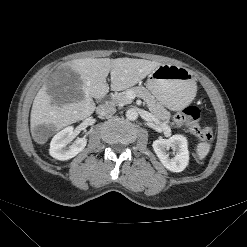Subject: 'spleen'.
<instances>
[{
    "label": "spleen",
    "instance_id": "spleen-1",
    "mask_svg": "<svg viewBox=\"0 0 247 247\" xmlns=\"http://www.w3.org/2000/svg\"><path fill=\"white\" fill-rule=\"evenodd\" d=\"M209 151H210V144L209 143L200 142L197 144L196 152H197V156L200 160L205 158L206 155L209 153Z\"/></svg>",
    "mask_w": 247,
    "mask_h": 247
}]
</instances>
